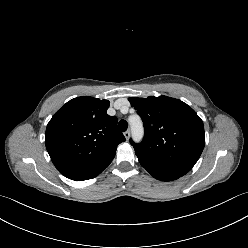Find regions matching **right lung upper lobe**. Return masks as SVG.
<instances>
[{
  "mask_svg": "<svg viewBox=\"0 0 248 248\" xmlns=\"http://www.w3.org/2000/svg\"><path fill=\"white\" fill-rule=\"evenodd\" d=\"M110 102L77 97L63 105L49 121L45 144L60 171H86L111 163L125 137L117 118L109 116Z\"/></svg>",
  "mask_w": 248,
  "mask_h": 248,
  "instance_id": "obj_1",
  "label": "right lung upper lobe"
}]
</instances>
